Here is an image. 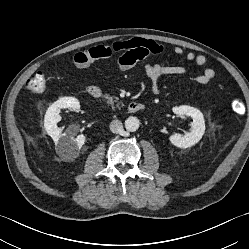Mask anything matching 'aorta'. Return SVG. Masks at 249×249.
<instances>
[{
    "mask_svg": "<svg viewBox=\"0 0 249 249\" xmlns=\"http://www.w3.org/2000/svg\"><path fill=\"white\" fill-rule=\"evenodd\" d=\"M140 122L136 117H128L125 120V128L129 132H135L139 128Z\"/></svg>",
    "mask_w": 249,
    "mask_h": 249,
    "instance_id": "obj_1",
    "label": "aorta"
}]
</instances>
